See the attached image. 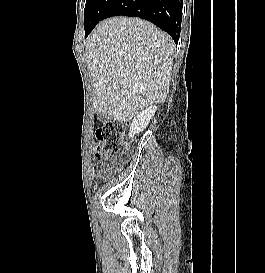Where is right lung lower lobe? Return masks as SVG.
<instances>
[{"label": "right lung lower lobe", "instance_id": "98d812e1", "mask_svg": "<svg viewBox=\"0 0 265 273\" xmlns=\"http://www.w3.org/2000/svg\"><path fill=\"white\" fill-rule=\"evenodd\" d=\"M182 6L183 0H114L103 19L117 15L140 17L166 31L177 43L181 30ZM91 30L85 32L86 36Z\"/></svg>", "mask_w": 265, "mask_h": 273}]
</instances>
